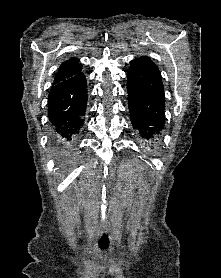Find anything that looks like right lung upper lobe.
I'll use <instances>...</instances> for the list:
<instances>
[{
  "label": "right lung upper lobe",
  "instance_id": "cb5924a9",
  "mask_svg": "<svg viewBox=\"0 0 221 278\" xmlns=\"http://www.w3.org/2000/svg\"><path fill=\"white\" fill-rule=\"evenodd\" d=\"M82 65L76 58H71L60 65V68L55 76L54 83L62 82L68 78L81 73Z\"/></svg>",
  "mask_w": 221,
  "mask_h": 278
}]
</instances>
